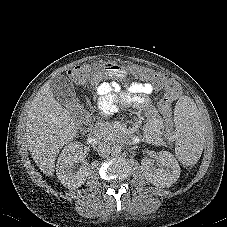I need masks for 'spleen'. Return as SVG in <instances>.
<instances>
[{
  "label": "spleen",
  "instance_id": "1",
  "mask_svg": "<svg viewBox=\"0 0 227 227\" xmlns=\"http://www.w3.org/2000/svg\"><path fill=\"white\" fill-rule=\"evenodd\" d=\"M193 122H195L194 117H187L185 119H181L179 117L176 118V123L178 124V128H181V129L186 128L189 131L190 130L194 131V129H196L194 127L198 126L197 122H195V123H193ZM196 136L199 137V135H197V134H196ZM192 138H194V136H192ZM191 142L193 143V145L190 144V146L188 147L187 153H185V155L182 158L183 163L186 165L194 164L198 160L199 155H200V153H199V151L201 149L200 144H199L200 139H199V141H198V139L196 140V138L191 139Z\"/></svg>",
  "mask_w": 227,
  "mask_h": 227
}]
</instances>
